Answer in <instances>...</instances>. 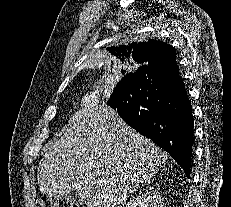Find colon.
<instances>
[{"label": "colon", "mask_w": 231, "mask_h": 207, "mask_svg": "<svg viewBox=\"0 0 231 207\" xmlns=\"http://www.w3.org/2000/svg\"><path fill=\"white\" fill-rule=\"evenodd\" d=\"M35 207H78L62 199H48L44 198L39 200Z\"/></svg>", "instance_id": "1"}]
</instances>
